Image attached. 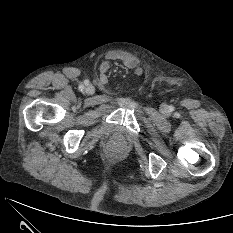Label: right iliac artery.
Listing matches in <instances>:
<instances>
[{
	"label": "right iliac artery",
	"mask_w": 233,
	"mask_h": 233,
	"mask_svg": "<svg viewBox=\"0 0 233 233\" xmlns=\"http://www.w3.org/2000/svg\"><path fill=\"white\" fill-rule=\"evenodd\" d=\"M84 84L86 85L87 82H85ZM84 84H81V85L79 86V89H80L81 91L85 88Z\"/></svg>",
	"instance_id": "obj_1"
}]
</instances>
